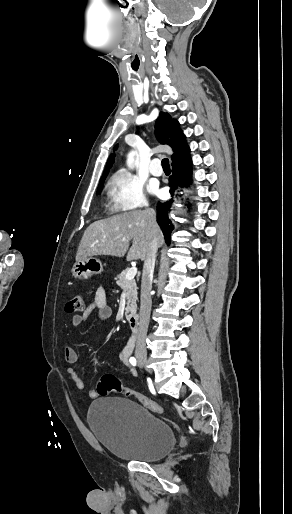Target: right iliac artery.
I'll list each match as a JSON object with an SVG mask.
<instances>
[{
  "instance_id": "obj_1",
  "label": "right iliac artery",
  "mask_w": 292,
  "mask_h": 514,
  "mask_svg": "<svg viewBox=\"0 0 292 514\" xmlns=\"http://www.w3.org/2000/svg\"><path fill=\"white\" fill-rule=\"evenodd\" d=\"M129 361H130L131 365L136 366L137 361H136V359H135L134 357H131V358L129 359Z\"/></svg>"
}]
</instances>
